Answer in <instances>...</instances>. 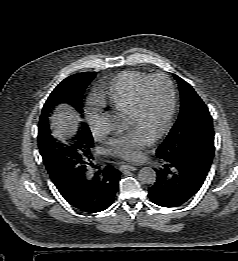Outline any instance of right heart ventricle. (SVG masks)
Listing matches in <instances>:
<instances>
[{
	"instance_id": "1",
	"label": "right heart ventricle",
	"mask_w": 238,
	"mask_h": 261,
	"mask_svg": "<svg viewBox=\"0 0 238 261\" xmlns=\"http://www.w3.org/2000/svg\"><path fill=\"white\" fill-rule=\"evenodd\" d=\"M149 76L143 71L130 70L119 74L97 96L99 105H109L115 110L129 111L140 84Z\"/></svg>"
}]
</instances>
